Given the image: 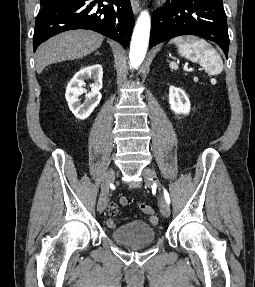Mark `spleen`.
I'll list each match as a JSON object with an SVG mask.
<instances>
[{"instance_id":"spleen-1","label":"spleen","mask_w":255,"mask_h":287,"mask_svg":"<svg viewBox=\"0 0 255 287\" xmlns=\"http://www.w3.org/2000/svg\"><path fill=\"white\" fill-rule=\"evenodd\" d=\"M169 44H176L178 54L191 62H203V66L209 68L211 74H220L223 70V62L214 48L205 40H198L195 36H178L170 40ZM172 70H177L175 62L169 64Z\"/></svg>"}]
</instances>
